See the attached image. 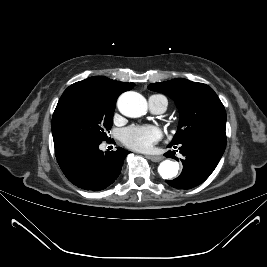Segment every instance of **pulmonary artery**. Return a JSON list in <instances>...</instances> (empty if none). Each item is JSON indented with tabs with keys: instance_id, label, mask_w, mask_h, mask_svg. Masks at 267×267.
<instances>
[{
	"instance_id": "1",
	"label": "pulmonary artery",
	"mask_w": 267,
	"mask_h": 267,
	"mask_svg": "<svg viewBox=\"0 0 267 267\" xmlns=\"http://www.w3.org/2000/svg\"><path fill=\"white\" fill-rule=\"evenodd\" d=\"M150 110L153 113L161 114L167 108V99L163 95H152L148 99Z\"/></svg>"
}]
</instances>
